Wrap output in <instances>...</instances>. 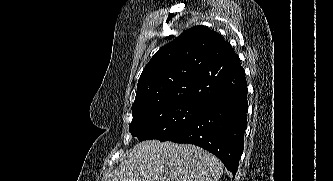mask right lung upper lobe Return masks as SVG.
Segmentation results:
<instances>
[{"label":"right lung upper lobe","instance_id":"1","mask_svg":"<svg viewBox=\"0 0 333 181\" xmlns=\"http://www.w3.org/2000/svg\"><path fill=\"white\" fill-rule=\"evenodd\" d=\"M246 87L245 71L231 45L199 25L151 58L139 78L132 112L167 102L204 105Z\"/></svg>","mask_w":333,"mask_h":181}]
</instances>
